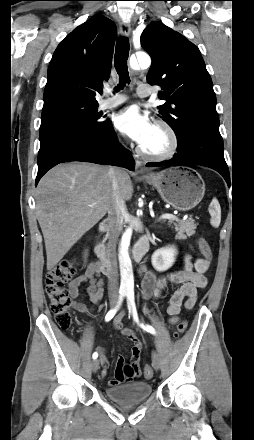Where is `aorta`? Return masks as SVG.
<instances>
[{
  "label": "aorta",
  "mask_w": 254,
  "mask_h": 440,
  "mask_svg": "<svg viewBox=\"0 0 254 440\" xmlns=\"http://www.w3.org/2000/svg\"><path fill=\"white\" fill-rule=\"evenodd\" d=\"M138 65L141 69H147L151 65V58L146 53H139L136 56ZM131 229H128L122 237L119 249V264L121 273V288L126 290L133 289L132 264L128 252Z\"/></svg>",
  "instance_id": "aorta-1"
}]
</instances>
